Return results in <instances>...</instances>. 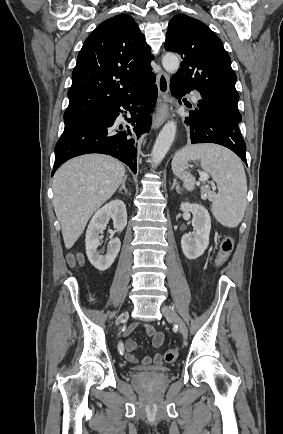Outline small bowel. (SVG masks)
<instances>
[{"label":"small bowel","instance_id":"c3829d8e","mask_svg":"<svg viewBox=\"0 0 283 434\" xmlns=\"http://www.w3.org/2000/svg\"><path fill=\"white\" fill-rule=\"evenodd\" d=\"M137 323L131 324L125 331V335H129L136 327ZM147 336L152 340V346L154 348H160L164 342V334L157 331L152 325L144 324ZM124 347V346H123ZM137 344L134 340L128 339L125 343L126 358L131 363H137L138 358L134 353ZM162 364V356L159 353L154 354L152 357L146 356L142 359V365L144 366H160Z\"/></svg>","mask_w":283,"mask_h":434}]
</instances>
